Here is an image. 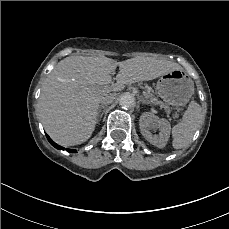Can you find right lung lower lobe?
<instances>
[{"label": "right lung lower lobe", "mask_w": 229, "mask_h": 229, "mask_svg": "<svg viewBox=\"0 0 229 229\" xmlns=\"http://www.w3.org/2000/svg\"><path fill=\"white\" fill-rule=\"evenodd\" d=\"M46 137L48 139V141L51 143L52 146H54L55 148L57 149H60V150H64V147H61L59 146L58 144H56L47 134H46ZM68 152L70 153H76L77 151L74 150V149H66Z\"/></svg>", "instance_id": "1"}]
</instances>
